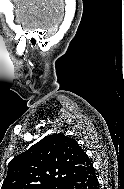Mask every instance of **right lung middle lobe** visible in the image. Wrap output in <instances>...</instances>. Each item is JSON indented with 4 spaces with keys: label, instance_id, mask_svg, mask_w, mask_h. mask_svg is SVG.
I'll list each match as a JSON object with an SVG mask.
<instances>
[{
    "label": "right lung middle lobe",
    "instance_id": "1",
    "mask_svg": "<svg viewBox=\"0 0 124 189\" xmlns=\"http://www.w3.org/2000/svg\"><path fill=\"white\" fill-rule=\"evenodd\" d=\"M64 186L63 185H45L41 186L38 189H62Z\"/></svg>",
    "mask_w": 124,
    "mask_h": 189
}]
</instances>
